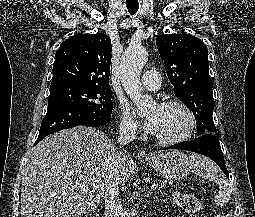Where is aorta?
<instances>
[{
    "label": "aorta",
    "mask_w": 255,
    "mask_h": 217,
    "mask_svg": "<svg viewBox=\"0 0 255 217\" xmlns=\"http://www.w3.org/2000/svg\"><path fill=\"white\" fill-rule=\"evenodd\" d=\"M147 62V51L140 44H131L122 55L120 62L121 83L137 107V113L144 116L155 101L141 93L140 75Z\"/></svg>",
    "instance_id": "obj_1"
}]
</instances>
